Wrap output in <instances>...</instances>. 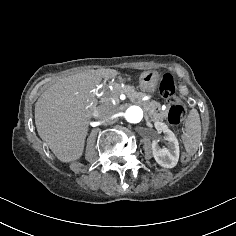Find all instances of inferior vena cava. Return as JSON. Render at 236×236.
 <instances>
[{"instance_id": "inferior-vena-cava-1", "label": "inferior vena cava", "mask_w": 236, "mask_h": 236, "mask_svg": "<svg viewBox=\"0 0 236 236\" xmlns=\"http://www.w3.org/2000/svg\"><path fill=\"white\" fill-rule=\"evenodd\" d=\"M93 114H94V116H96V117H98V118L102 115V114H101L99 111H97V110L94 111Z\"/></svg>"}]
</instances>
